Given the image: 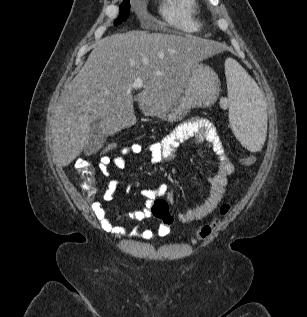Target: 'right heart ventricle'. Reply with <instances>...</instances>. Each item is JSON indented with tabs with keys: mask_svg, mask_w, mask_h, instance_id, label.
I'll return each instance as SVG.
<instances>
[{
	"mask_svg": "<svg viewBox=\"0 0 307 317\" xmlns=\"http://www.w3.org/2000/svg\"><path fill=\"white\" fill-rule=\"evenodd\" d=\"M160 13L168 25L183 32H199L204 27L198 0H163Z\"/></svg>",
	"mask_w": 307,
	"mask_h": 317,
	"instance_id": "right-heart-ventricle-1",
	"label": "right heart ventricle"
}]
</instances>
